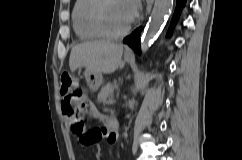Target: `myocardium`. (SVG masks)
I'll list each match as a JSON object with an SVG mask.
<instances>
[{
  "label": "myocardium",
  "instance_id": "f54148a6",
  "mask_svg": "<svg viewBox=\"0 0 242 160\" xmlns=\"http://www.w3.org/2000/svg\"><path fill=\"white\" fill-rule=\"evenodd\" d=\"M107 0H96L90 12V21L96 32L103 38L108 40H119L130 33L133 27V20L130 24L120 33L112 34L108 32L102 23L101 12Z\"/></svg>",
  "mask_w": 242,
  "mask_h": 160
}]
</instances>
